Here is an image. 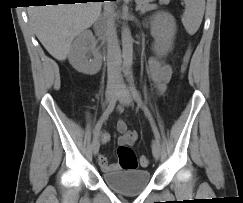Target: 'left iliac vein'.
I'll return each instance as SVG.
<instances>
[{"label":"left iliac vein","instance_id":"1","mask_svg":"<svg viewBox=\"0 0 243 203\" xmlns=\"http://www.w3.org/2000/svg\"><path fill=\"white\" fill-rule=\"evenodd\" d=\"M116 96L119 98L120 103L124 106L132 105V98L130 92L127 88L117 89ZM152 153L156 160L160 158L161 155V145L157 140L152 142Z\"/></svg>","mask_w":243,"mask_h":203}]
</instances>
